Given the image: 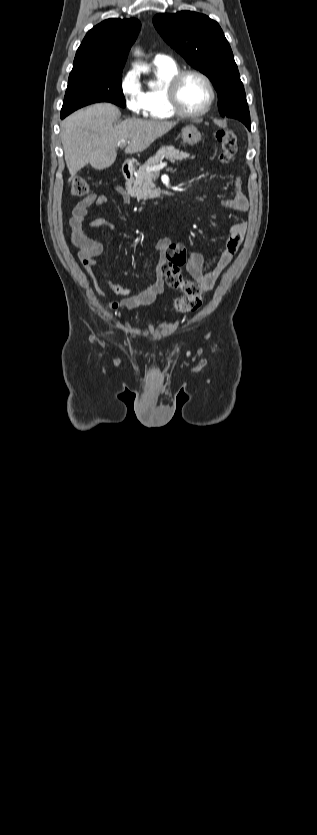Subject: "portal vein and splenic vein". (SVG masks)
Returning a JSON list of instances; mask_svg holds the SVG:
<instances>
[{"instance_id":"18ae733b","label":"portal vein and splenic vein","mask_w":317,"mask_h":835,"mask_svg":"<svg viewBox=\"0 0 317 835\" xmlns=\"http://www.w3.org/2000/svg\"><path fill=\"white\" fill-rule=\"evenodd\" d=\"M127 143H129V141H124V142H122V143L119 145V146H120V148H124V147L126 146V144H127ZM166 166H167V163H166V162H163V163L161 162V163H160V164H158V165H155V166H153V167H149V168H147V169H146V171H147V172H152V171L157 172V171H160L161 169L165 168Z\"/></svg>"}]
</instances>
